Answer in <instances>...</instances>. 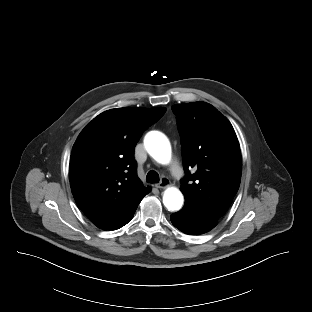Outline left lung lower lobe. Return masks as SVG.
I'll use <instances>...</instances> for the list:
<instances>
[{"mask_svg": "<svg viewBox=\"0 0 312 312\" xmlns=\"http://www.w3.org/2000/svg\"><path fill=\"white\" fill-rule=\"evenodd\" d=\"M172 224L186 234H203L214 228L218 219L206 216L188 206L171 215Z\"/></svg>", "mask_w": 312, "mask_h": 312, "instance_id": "left-lung-lower-lobe-1", "label": "left lung lower lobe"}]
</instances>
